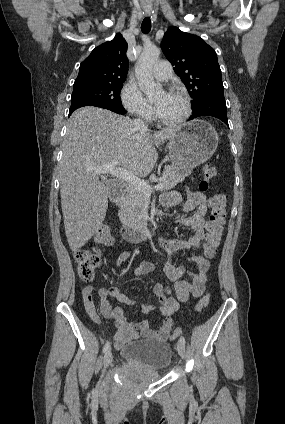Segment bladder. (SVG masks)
I'll use <instances>...</instances> for the list:
<instances>
[{
  "label": "bladder",
  "instance_id": "bladder-1",
  "mask_svg": "<svg viewBox=\"0 0 285 424\" xmlns=\"http://www.w3.org/2000/svg\"><path fill=\"white\" fill-rule=\"evenodd\" d=\"M121 354L126 364H133L152 374V377L165 372L173 357L170 344L155 339L129 342L122 348Z\"/></svg>",
  "mask_w": 285,
  "mask_h": 424
}]
</instances>
